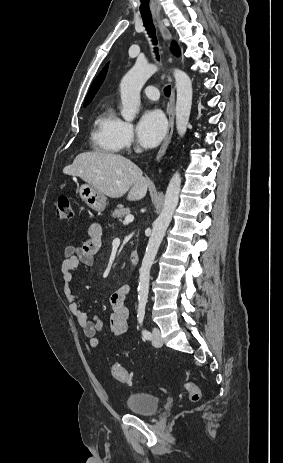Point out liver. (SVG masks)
<instances>
[{"instance_id":"obj_1","label":"liver","mask_w":283,"mask_h":463,"mask_svg":"<svg viewBox=\"0 0 283 463\" xmlns=\"http://www.w3.org/2000/svg\"><path fill=\"white\" fill-rule=\"evenodd\" d=\"M63 173L80 177L110 198L128 192L127 199L137 201L145 197L148 189L142 170L128 158L114 153H80Z\"/></svg>"}]
</instances>
